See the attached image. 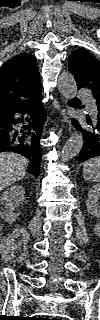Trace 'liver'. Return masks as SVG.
I'll use <instances>...</instances> for the list:
<instances>
[{
  "mask_svg": "<svg viewBox=\"0 0 100 320\" xmlns=\"http://www.w3.org/2000/svg\"><path fill=\"white\" fill-rule=\"evenodd\" d=\"M29 161L20 154L3 152L0 154V189L22 179Z\"/></svg>",
  "mask_w": 100,
  "mask_h": 320,
  "instance_id": "1",
  "label": "liver"
}]
</instances>
